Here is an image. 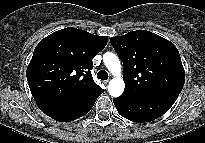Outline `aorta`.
<instances>
[{
    "mask_svg": "<svg viewBox=\"0 0 205 143\" xmlns=\"http://www.w3.org/2000/svg\"><path fill=\"white\" fill-rule=\"evenodd\" d=\"M103 62L107 69L114 75V78L109 82L108 92L112 97H119L125 88L123 78L121 77L119 58L111 52H106L103 55Z\"/></svg>",
    "mask_w": 205,
    "mask_h": 143,
    "instance_id": "obj_1",
    "label": "aorta"
}]
</instances>
